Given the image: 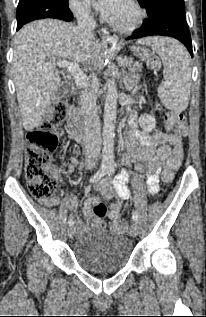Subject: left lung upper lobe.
Here are the masks:
<instances>
[{
	"label": "left lung upper lobe",
	"mask_w": 206,
	"mask_h": 317,
	"mask_svg": "<svg viewBox=\"0 0 206 317\" xmlns=\"http://www.w3.org/2000/svg\"><path fill=\"white\" fill-rule=\"evenodd\" d=\"M138 2L147 11L148 19L145 21L163 16L186 19L184 0H138Z\"/></svg>",
	"instance_id": "1"
}]
</instances>
